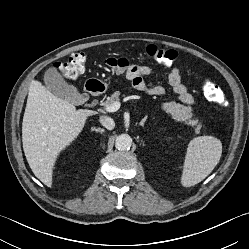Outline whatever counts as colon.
<instances>
[{"instance_id":"obj_1","label":"colon","mask_w":249,"mask_h":249,"mask_svg":"<svg viewBox=\"0 0 249 249\" xmlns=\"http://www.w3.org/2000/svg\"><path fill=\"white\" fill-rule=\"evenodd\" d=\"M146 54L156 62L170 66L178 58L177 52L171 49L159 48L155 45H150L146 48ZM86 57L83 52L72 53L64 62L55 64V68L60 75L65 79H76L85 71ZM106 64L117 71H123L127 68L128 63L124 58H111L106 60ZM203 92L206 99L215 104H221L223 94L220 88L209 78L203 83Z\"/></svg>"}]
</instances>
